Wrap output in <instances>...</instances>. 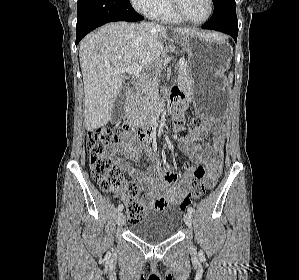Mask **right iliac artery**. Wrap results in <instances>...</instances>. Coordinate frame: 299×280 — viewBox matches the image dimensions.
I'll return each mask as SVG.
<instances>
[{"label": "right iliac artery", "mask_w": 299, "mask_h": 280, "mask_svg": "<svg viewBox=\"0 0 299 280\" xmlns=\"http://www.w3.org/2000/svg\"><path fill=\"white\" fill-rule=\"evenodd\" d=\"M123 208H124V206H123V204H119V206H118V211H122L123 210Z\"/></svg>", "instance_id": "82829eb1"}]
</instances>
